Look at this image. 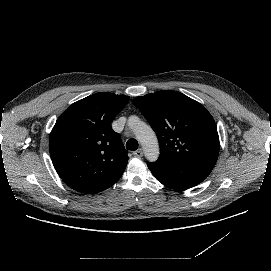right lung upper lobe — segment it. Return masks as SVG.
<instances>
[{
  "mask_svg": "<svg viewBox=\"0 0 271 271\" xmlns=\"http://www.w3.org/2000/svg\"><path fill=\"white\" fill-rule=\"evenodd\" d=\"M128 96L103 92L73 103L56 121L49 151L61 179L72 189L98 193L122 176L129 157L111 128Z\"/></svg>",
  "mask_w": 271,
  "mask_h": 271,
  "instance_id": "cb5924a9",
  "label": "right lung upper lobe"
}]
</instances>
